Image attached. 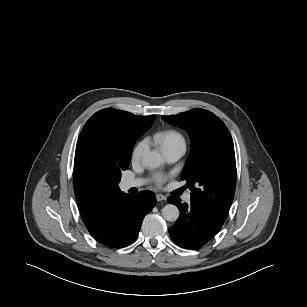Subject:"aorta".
<instances>
[{"mask_svg": "<svg viewBox=\"0 0 307 307\" xmlns=\"http://www.w3.org/2000/svg\"><path fill=\"white\" fill-rule=\"evenodd\" d=\"M164 160L157 151H147L142 158V163L148 168H157L163 164ZM180 211L177 206L167 204L162 209V216L166 221L173 222L179 218Z\"/></svg>", "mask_w": 307, "mask_h": 307, "instance_id": "762f6f07", "label": "aorta"}]
</instances>
